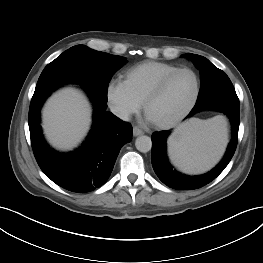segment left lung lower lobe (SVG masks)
Returning <instances> with one entry per match:
<instances>
[{
  "mask_svg": "<svg viewBox=\"0 0 263 263\" xmlns=\"http://www.w3.org/2000/svg\"><path fill=\"white\" fill-rule=\"evenodd\" d=\"M212 109L225 113L232 124V139L222 161L210 172L200 176H187L177 172L169 163L166 155V139L169 130L152 134V166L159 179L167 186L178 190L198 189L214 180L228 165L236 150L239 130V99L235 91L217 92L197 100L186 118L193 114Z\"/></svg>",
  "mask_w": 263,
  "mask_h": 263,
  "instance_id": "obj_1",
  "label": "left lung lower lobe"
}]
</instances>
